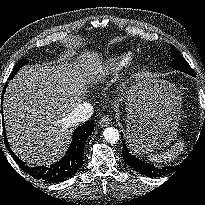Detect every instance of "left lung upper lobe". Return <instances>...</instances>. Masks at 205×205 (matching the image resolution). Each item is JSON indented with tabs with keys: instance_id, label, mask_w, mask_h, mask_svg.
<instances>
[{
	"instance_id": "obj_1",
	"label": "left lung upper lobe",
	"mask_w": 205,
	"mask_h": 205,
	"mask_svg": "<svg viewBox=\"0 0 205 205\" xmlns=\"http://www.w3.org/2000/svg\"><path fill=\"white\" fill-rule=\"evenodd\" d=\"M171 56L173 57V62L171 66L174 69L183 71L189 75L194 74L187 61L181 56V54L176 50L173 45H171Z\"/></svg>"
}]
</instances>
